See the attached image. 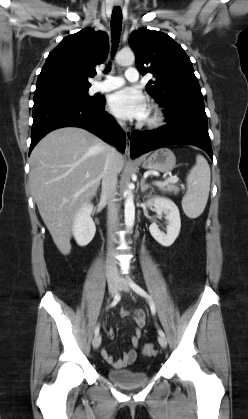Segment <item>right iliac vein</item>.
Here are the masks:
<instances>
[{
  "instance_id": "right-iliac-vein-1",
  "label": "right iliac vein",
  "mask_w": 248,
  "mask_h": 419,
  "mask_svg": "<svg viewBox=\"0 0 248 419\" xmlns=\"http://www.w3.org/2000/svg\"><path fill=\"white\" fill-rule=\"evenodd\" d=\"M118 281L115 278L108 279V290L111 296H114L117 293ZM101 344V336L98 334L93 338L92 345L95 349L99 348Z\"/></svg>"
}]
</instances>
